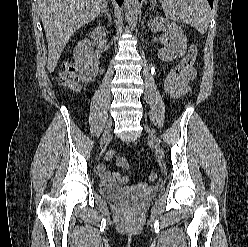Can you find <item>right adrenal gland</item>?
I'll return each instance as SVG.
<instances>
[{
	"label": "right adrenal gland",
	"instance_id": "1",
	"mask_svg": "<svg viewBox=\"0 0 248 247\" xmlns=\"http://www.w3.org/2000/svg\"><path fill=\"white\" fill-rule=\"evenodd\" d=\"M105 13V15L107 16V19L109 20V22H111V15L109 13V9H108V5L107 3L105 4L104 8L101 11V14Z\"/></svg>",
	"mask_w": 248,
	"mask_h": 247
}]
</instances>
